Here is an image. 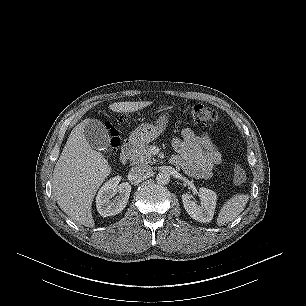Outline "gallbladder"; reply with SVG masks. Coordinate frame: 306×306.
<instances>
[{"label":"gallbladder","instance_id":"gallbladder-1","mask_svg":"<svg viewBox=\"0 0 306 306\" xmlns=\"http://www.w3.org/2000/svg\"><path fill=\"white\" fill-rule=\"evenodd\" d=\"M84 137L93 149L104 150L110 146V136L104 124L90 119L84 127Z\"/></svg>","mask_w":306,"mask_h":306}]
</instances>
